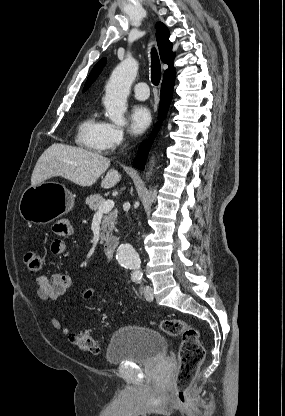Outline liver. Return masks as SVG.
<instances>
[{
  "mask_svg": "<svg viewBox=\"0 0 285 416\" xmlns=\"http://www.w3.org/2000/svg\"><path fill=\"white\" fill-rule=\"evenodd\" d=\"M109 166L110 160L100 154L64 144H52L40 156L31 176V186H38L55 176H62L83 188L93 186ZM121 178L117 170H109L101 182V188H114Z\"/></svg>",
  "mask_w": 285,
  "mask_h": 416,
  "instance_id": "6515ba94",
  "label": "liver"
}]
</instances>
